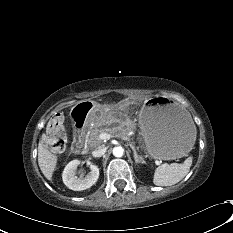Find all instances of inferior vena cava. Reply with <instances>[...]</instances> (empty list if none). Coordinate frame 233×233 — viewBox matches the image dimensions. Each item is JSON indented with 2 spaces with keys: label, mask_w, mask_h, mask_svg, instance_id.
I'll return each instance as SVG.
<instances>
[{
  "label": "inferior vena cava",
  "mask_w": 233,
  "mask_h": 233,
  "mask_svg": "<svg viewBox=\"0 0 233 233\" xmlns=\"http://www.w3.org/2000/svg\"><path fill=\"white\" fill-rule=\"evenodd\" d=\"M106 150H107L106 147L99 148L98 150H94L92 152V155L94 157H101V156H103L105 154Z\"/></svg>",
  "instance_id": "1"
}]
</instances>
